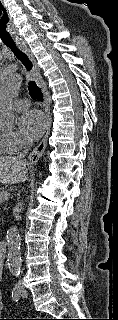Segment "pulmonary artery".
<instances>
[{
	"instance_id": "obj_1",
	"label": "pulmonary artery",
	"mask_w": 118,
	"mask_h": 320,
	"mask_svg": "<svg viewBox=\"0 0 118 320\" xmlns=\"http://www.w3.org/2000/svg\"><path fill=\"white\" fill-rule=\"evenodd\" d=\"M13 106L17 111H24L30 106V102L27 99H19L14 101Z\"/></svg>"
}]
</instances>
